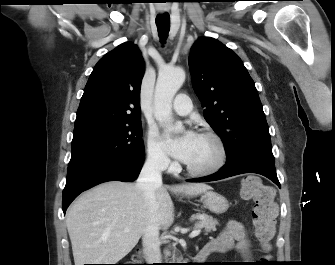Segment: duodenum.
Here are the masks:
<instances>
[{"mask_svg":"<svg viewBox=\"0 0 335 265\" xmlns=\"http://www.w3.org/2000/svg\"><path fill=\"white\" fill-rule=\"evenodd\" d=\"M215 251H216V248H215V247H213V246H211V245H209V244H206V245L201 249V251L198 253V255L196 256L195 260H196L197 262H203V261H205V260L208 258V256H209L210 254H212V253L215 252Z\"/></svg>","mask_w":335,"mask_h":265,"instance_id":"obj_1","label":"duodenum"}]
</instances>
